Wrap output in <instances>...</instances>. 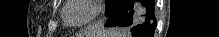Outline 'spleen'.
<instances>
[{
    "instance_id": "obj_1",
    "label": "spleen",
    "mask_w": 219,
    "mask_h": 37,
    "mask_svg": "<svg viewBox=\"0 0 219 37\" xmlns=\"http://www.w3.org/2000/svg\"><path fill=\"white\" fill-rule=\"evenodd\" d=\"M128 29H110L107 37H127Z\"/></svg>"
}]
</instances>
